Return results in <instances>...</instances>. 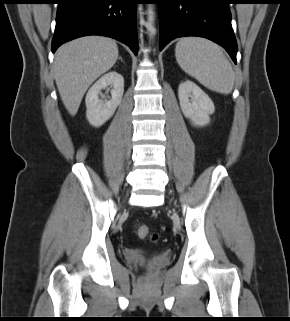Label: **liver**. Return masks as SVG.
<instances>
[{
    "label": "liver",
    "mask_w": 290,
    "mask_h": 321,
    "mask_svg": "<svg viewBox=\"0 0 290 321\" xmlns=\"http://www.w3.org/2000/svg\"><path fill=\"white\" fill-rule=\"evenodd\" d=\"M118 54L116 42L103 36H85L59 47L54 60V78L70 115H76L89 86L113 67Z\"/></svg>",
    "instance_id": "1"
}]
</instances>
